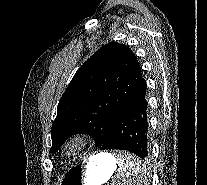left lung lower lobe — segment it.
<instances>
[{
	"label": "left lung lower lobe",
	"mask_w": 207,
	"mask_h": 185,
	"mask_svg": "<svg viewBox=\"0 0 207 185\" xmlns=\"http://www.w3.org/2000/svg\"><path fill=\"white\" fill-rule=\"evenodd\" d=\"M146 88L116 117L101 150H127L141 158L148 156Z\"/></svg>",
	"instance_id": "0a47b994"
}]
</instances>
